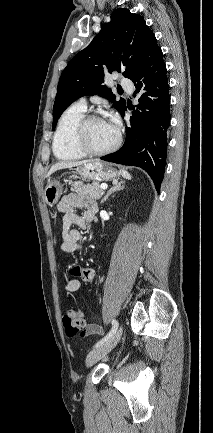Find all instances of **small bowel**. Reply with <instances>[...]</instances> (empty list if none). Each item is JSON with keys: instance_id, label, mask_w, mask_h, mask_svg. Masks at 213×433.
Returning <instances> with one entry per match:
<instances>
[{"instance_id": "c3829d8e", "label": "small bowel", "mask_w": 213, "mask_h": 433, "mask_svg": "<svg viewBox=\"0 0 213 433\" xmlns=\"http://www.w3.org/2000/svg\"><path fill=\"white\" fill-rule=\"evenodd\" d=\"M83 210L81 214L77 211ZM58 211L62 214L60 227L62 243L60 249L65 253H75L83 250L82 241L85 240L82 230H85L93 221L97 211L96 203L85 196L76 193L66 195L58 205ZM76 225L78 229L73 228ZM74 278L68 280L64 286L66 292H76L82 282H92L95 278L93 270L74 265L70 268ZM87 334H101V329L95 324L86 327Z\"/></svg>"}]
</instances>
